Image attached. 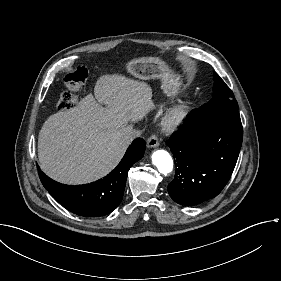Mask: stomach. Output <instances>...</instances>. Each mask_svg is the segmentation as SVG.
I'll return each mask as SVG.
<instances>
[{"label":"stomach","mask_w":281,"mask_h":281,"mask_svg":"<svg viewBox=\"0 0 281 281\" xmlns=\"http://www.w3.org/2000/svg\"><path fill=\"white\" fill-rule=\"evenodd\" d=\"M125 71L141 81H160L162 94L169 99L179 97L185 89L184 74L176 71L164 58L156 55L132 58L124 64Z\"/></svg>","instance_id":"obj_1"}]
</instances>
